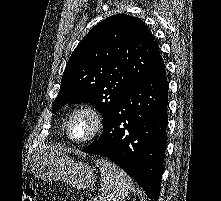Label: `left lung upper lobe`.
<instances>
[{
    "instance_id": "5c2ea615",
    "label": "left lung upper lobe",
    "mask_w": 221,
    "mask_h": 201,
    "mask_svg": "<svg viewBox=\"0 0 221 201\" xmlns=\"http://www.w3.org/2000/svg\"><path fill=\"white\" fill-rule=\"evenodd\" d=\"M159 46L139 18L111 16L93 27L73 51L52 105L91 103L103 127L120 101L161 63Z\"/></svg>"
}]
</instances>
